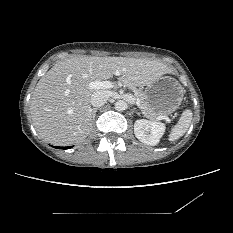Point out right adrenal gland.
<instances>
[{"mask_svg":"<svg viewBox=\"0 0 233 233\" xmlns=\"http://www.w3.org/2000/svg\"><path fill=\"white\" fill-rule=\"evenodd\" d=\"M99 108H93L92 109V115H93V120L95 119V116H96V112Z\"/></svg>","mask_w":233,"mask_h":233,"instance_id":"right-adrenal-gland-1","label":"right adrenal gland"}]
</instances>
